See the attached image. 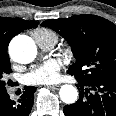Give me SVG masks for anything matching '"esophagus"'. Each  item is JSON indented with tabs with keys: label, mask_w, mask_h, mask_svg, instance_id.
<instances>
[{
	"label": "esophagus",
	"mask_w": 116,
	"mask_h": 116,
	"mask_svg": "<svg viewBox=\"0 0 116 116\" xmlns=\"http://www.w3.org/2000/svg\"><path fill=\"white\" fill-rule=\"evenodd\" d=\"M49 89H57L59 88V85H49L47 86Z\"/></svg>",
	"instance_id": "obj_1"
}]
</instances>
